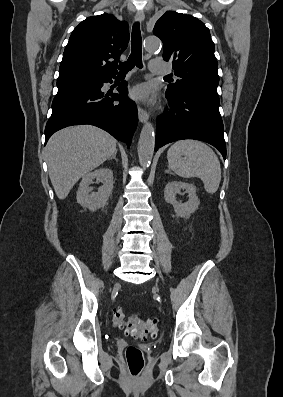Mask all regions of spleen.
Masks as SVG:
<instances>
[{"label":"spleen","mask_w":283,"mask_h":397,"mask_svg":"<svg viewBox=\"0 0 283 397\" xmlns=\"http://www.w3.org/2000/svg\"><path fill=\"white\" fill-rule=\"evenodd\" d=\"M169 168L183 178H200L206 192L216 193L221 181L220 162L215 152L197 140L175 142L167 152Z\"/></svg>","instance_id":"obj_1"}]
</instances>
